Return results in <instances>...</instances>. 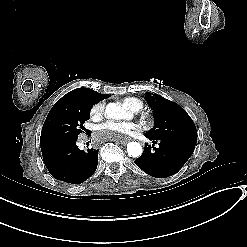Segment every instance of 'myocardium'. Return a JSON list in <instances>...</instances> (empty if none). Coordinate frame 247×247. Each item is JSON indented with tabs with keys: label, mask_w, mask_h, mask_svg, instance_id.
<instances>
[{
	"label": "myocardium",
	"mask_w": 247,
	"mask_h": 247,
	"mask_svg": "<svg viewBox=\"0 0 247 247\" xmlns=\"http://www.w3.org/2000/svg\"><path fill=\"white\" fill-rule=\"evenodd\" d=\"M153 115L151 113L142 112L140 117V123L145 129H149L153 124Z\"/></svg>",
	"instance_id": "myocardium-1"
}]
</instances>
